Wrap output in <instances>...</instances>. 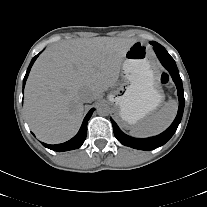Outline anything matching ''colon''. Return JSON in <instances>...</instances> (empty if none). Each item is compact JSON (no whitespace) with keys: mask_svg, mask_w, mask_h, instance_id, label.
Instances as JSON below:
<instances>
[{"mask_svg":"<svg viewBox=\"0 0 207 207\" xmlns=\"http://www.w3.org/2000/svg\"><path fill=\"white\" fill-rule=\"evenodd\" d=\"M161 83H162L163 85H166V84L168 83V76H167L166 74H163V75L161 76Z\"/></svg>","mask_w":207,"mask_h":207,"instance_id":"obj_1","label":"colon"}]
</instances>
